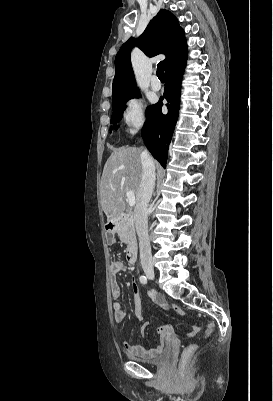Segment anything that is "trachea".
Here are the masks:
<instances>
[{
    "label": "trachea",
    "instance_id": "1",
    "mask_svg": "<svg viewBox=\"0 0 273 401\" xmlns=\"http://www.w3.org/2000/svg\"><path fill=\"white\" fill-rule=\"evenodd\" d=\"M157 77L160 79V81H164L165 80V73H164V67L162 62H159L157 65Z\"/></svg>",
    "mask_w": 273,
    "mask_h": 401
}]
</instances>
